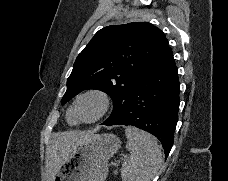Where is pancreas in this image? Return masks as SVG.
Wrapping results in <instances>:
<instances>
[{"label":"pancreas","mask_w":228,"mask_h":181,"mask_svg":"<svg viewBox=\"0 0 228 181\" xmlns=\"http://www.w3.org/2000/svg\"><path fill=\"white\" fill-rule=\"evenodd\" d=\"M115 175H117V171H115Z\"/></svg>","instance_id":"cf45deb5"}]
</instances>
